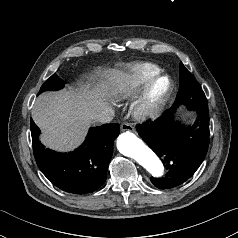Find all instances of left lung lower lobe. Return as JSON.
I'll return each mask as SVG.
<instances>
[{
	"label": "left lung lower lobe",
	"instance_id": "left-lung-lower-lobe-1",
	"mask_svg": "<svg viewBox=\"0 0 238 238\" xmlns=\"http://www.w3.org/2000/svg\"><path fill=\"white\" fill-rule=\"evenodd\" d=\"M185 101H178L163 115L149 124L137 126L138 134L162 160L167 172L164 177L151 178L160 189L173 188L187 181L203 162L209 146L208 104L188 105L196 110V122L180 127L172 121V113Z\"/></svg>",
	"mask_w": 238,
	"mask_h": 238
}]
</instances>
